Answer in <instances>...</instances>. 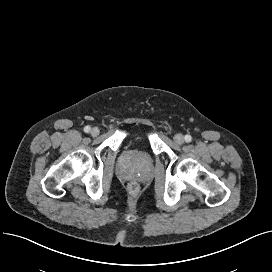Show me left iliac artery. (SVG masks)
Instances as JSON below:
<instances>
[{
  "mask_svg": "<svg viewBox=\"0 0 272 272\" xmlns=\"http://www.w3.org/2000/svg\"><path fill=\"white\" fill-rule=\"evenodd\" d=\"M185 141H186V142H191V141H192L191 135H186V136H185Z\"/></svg>",
  "mask_w": 272,
  "mask_h": 272,
  "instance_id": "1",
  "label": "left iliac artery"
}]
</instances>
